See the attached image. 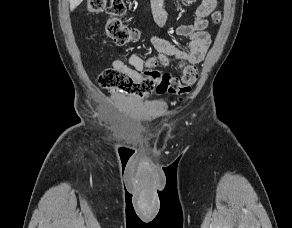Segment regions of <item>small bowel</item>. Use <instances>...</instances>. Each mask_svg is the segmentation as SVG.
Here are the masks:
<instances>
[{
  "instance_id": "c3829d8e",
  "label": "small bowel",
  "mask_w": 292,
  "mask_h": 228,
  "mask_svg": "<svg viewBox=\"0 0 292 228\" xmlns=\"http://www.w3.org/2000/svg\"><path fill=\"white\" fill-rule=\"evenodd\" d=\"M164 1L152 0V11L160 26H164L167 19L166 12L163 9ZM216 4L217 0H202L194 12L193 21L176 27V34L189 40L187 49H180L163 37L154 35L151 43L159 52L160 59L164 61L168 58L175 59L181 64V70L184 67H194L200 63L211 43L210 34L206 31L207 18L215 9ZM102 43L105 44V41ZM128 62L129 65L122 60H115L112 63V68L126 73L134 80H140L143 77L145 66L150 64V61L146 62L136 53L129 56Z\"/></svg>"
}]
</instances>
